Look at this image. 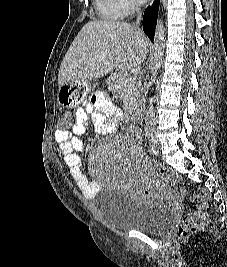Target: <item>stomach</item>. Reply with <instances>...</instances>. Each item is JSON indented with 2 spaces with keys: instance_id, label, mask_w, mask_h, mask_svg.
Returning a JSON list of instances; mask_svg holds the SVG:
<instances>
[{
  "instance_id": "obj_1",
  "label": "stomach",
  "mask_w": 227,
  "mask_h": 267,
  "mask_svg": "<svg viewBox=\"0 0 227 267\" xmlns=\"http://www.w3.org/2000/svg\"><path fill=\"white\" fill-rule=\"evenodd\" d=\"M88 81L63 82L56 101H61V107H78L89 96Z\"/></svg>"
}]
</instances>
